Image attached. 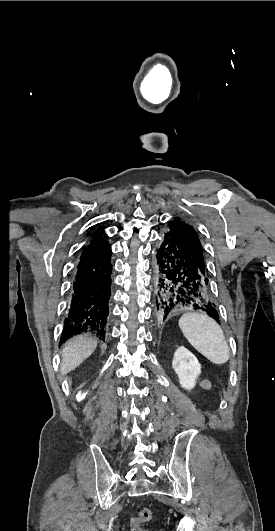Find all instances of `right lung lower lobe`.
Masks as SVG:
<instances>
[{
  "mask_svg": "<svg viewBox=\"0 0 275 531\" xmlns=\"http://www.w3.org/2000/svg\"><path fill=\"white\" fill-rule=\"evenodd\" d=\"M99 231L84 247L77 264L61 341L90 330L104 337L109 314L111 248Z\"/></svg>",
  "mask_w": 275,
  "mask_h": 531,
  "instance_id": "98d812e1",
  "label": "right lung lower lobe"
}]
</instances>
